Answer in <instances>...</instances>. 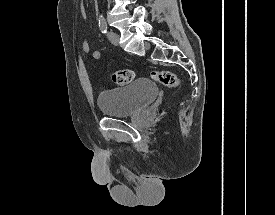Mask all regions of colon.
I'll return each instance as SVG.
<instances>
[{
  "label": "colon",
  "instance_id": "obj_1",
  "mask_svg": "<svg viewBox=\"0 0 275 215\" xmlns=\"http://www.w3.org/2000/svg\"><path fill=\"white\" fill-rule=\"evenodd\" d=\"M151 76L155 81L169 88H176L179 85V79L176 74L168 70H154ZM134 78L135 73L132 70H118L112 74V81L118 86L126 85Z\"/></svg>",
  "mask_w": 275,
  "mask_h": 215
}]
</instances>
